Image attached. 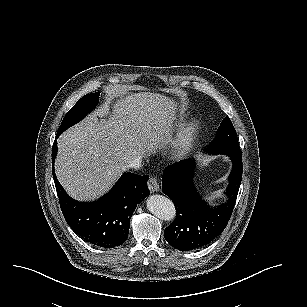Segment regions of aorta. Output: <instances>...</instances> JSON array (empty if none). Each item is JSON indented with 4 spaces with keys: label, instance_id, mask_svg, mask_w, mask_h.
Segmentation results:
<instances>
[{
    "label": "aorta",
    "instance_id": "obj_1",
    "mask_svg": "<svg viewBox=\"0 0 307 307\" xmlns=\"http://www.w3.org/2000/svg\"><path fill=\"white\" fill-rule=\"evenodd\" d=\"M146 209L162 220H171L175 216L173 202L160 194H151L146 198Z\"/></svg>",
    "mask_w": 307,
    "mask_h": 307
}]
</instances>
